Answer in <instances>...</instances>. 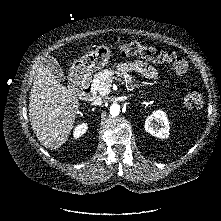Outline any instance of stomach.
<instances>
[{
  "label": "stomach",
  "mask_w": 221,
  "mask_h": 221,
  "mask_svg": "<svg viewBox=\"0 0 221 221\" xmlns=\"http://www.w3.org/2000/svg\"><path fill=\"white\" fill-rule=\"evenodd\" d=\"M111 51L106 45H100L95 50L88 52L79 59L74 60L70 71L77 76H86L94 69H102L109 60Z\"/></svg>",
  "instance_id": "stomach-1"
}]
</instances>
